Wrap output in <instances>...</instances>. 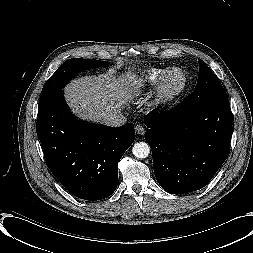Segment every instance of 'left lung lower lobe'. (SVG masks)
<instances>
[{"label":"left lung lower lobe","mask_w":253,"mask_h":253,"mask_svg":"<svg viewBox=\"0 0 253 253\" xmlns=\"http://www.w3.org/2000/svg\"><path fill=\"white\" fill-rule=\"evenodd\" d=\"M145 124L156 179L169 193L203 188L229 155L232 116L225 89L205 102L189 95L169 111L149 113Z\"/></svg>","instance_id":"obj_1"}]
</instances>
